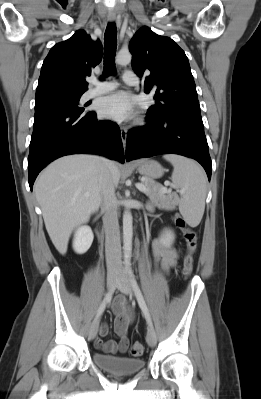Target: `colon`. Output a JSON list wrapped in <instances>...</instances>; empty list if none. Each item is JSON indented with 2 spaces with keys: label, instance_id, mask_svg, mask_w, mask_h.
Masks as SVG:
<instances>
[{
  "label": "colon",
  "instance_id": "1",
  "mask_svg": "<svg viewBox=\"0 0 261 399\" xmlns=\"http://www.w3.org/2000/svg\"><path fill=\"white\" fill-rule=\"evenodd\" d=\"M175 222L178 226L184 229V239L187 245V252L183 259V274L189 276L193 270V255L197 249L198 245V235L197 232L189 227H186L185 222L182 218L175 216ZM144 352V345L141 342H135L130 348V353L132 356H140Z\"/></svg>",
  "mask_w": 261,
  "mask_h": 399
}]
</instances>
